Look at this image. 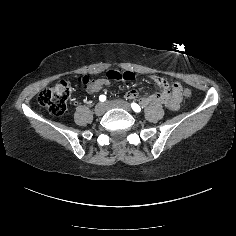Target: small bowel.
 Returning a JSON list of instances; mask_svg holds the SVG:
<instances>
[{
  "label": "small bowel",
  "instance_id": "small-bowel-1",
  "mask_svg": "<svg viewBox=\"0 0 236 236\" xmlns=\"http://www.w3.org/2000/svg\"><path fill=\"white\" fill-rule=\"evenodd\" d=\"M153 80L158 83L159 85H165V81L162 78L159 77H153ZM109 83L108 80L106 79H97L92 81L88 86H87V92L88 93H94L98 92L101 90L104 86H106ZM137 91L136 90H130L127 93V96L130 98H134L137 96Z\"/></svg>",
  "mask_w": 236,
  "mask_h": 236
}]
</instances>
